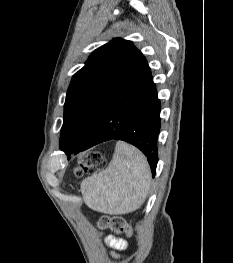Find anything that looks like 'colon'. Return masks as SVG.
Segmentation results:
<instances>
[{"mask_svg": "<svg viewBox=\"0 0 233 263\" xmlns=\"http://www.w3.org/2000/svg\"><path fill=\"white\" fill-rule=\"evenodd\" d=\"M105 166L106 160L104 156L100 152L94 151L83 157L81 165L75 168L74 173L75 176L80 177L84 173H95ZM97 225L100 228H110L117 233L131 234L130 225L119 215L101 216L97 221Z\"/></svg>", "mask_w": 233, "mask_h": 263, "instance_id": "colon-1", "label": "colon"}]
</instances>
